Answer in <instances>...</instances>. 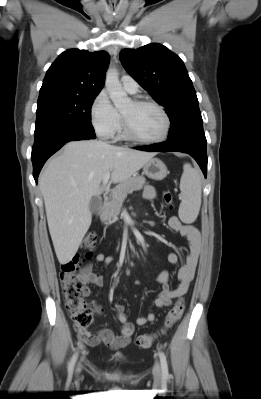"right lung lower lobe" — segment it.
Returning <instances> with one entry per match:
<instances>
[{
  "instance_id": "98d812e1",
  "label": "right lung lower lobe",
  "mask_w": 261,
  "mask_h": 399,
  "mask_svg": "<svg viewBox=\"0 0 261 399\" xmlns=\"http://www.w3.org/2000/svg\"><path fill=\"white\" fill-rule=\"evenodd\" d=\"M34 136L35 141L32 147L31 159L36 183L44 163L65 143L96 138L94 130L87 131L67 123H56L42 127L35 130Z\"/></svg>"
}]
</instances>
